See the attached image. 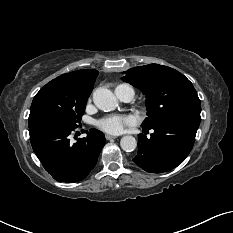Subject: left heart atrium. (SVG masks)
<instances>
[{
    "label": "left heart atrium",
    "instance_id": "39dd6f15",
    "mask_svg": "<svg viewBox=\"0 0 233 233\" xmlns=\"http://www.w3.org/2000/svg\"><path fill=\"white\" fill-rule=\"evenodd\" d=\"M136 122L137 119L132 115H110L101 119L98 126L105 132L119 134L126 126H132Z\"/></svg>",
    "mask_w": 233,
    "mask_h": 233
}]
</instances>
